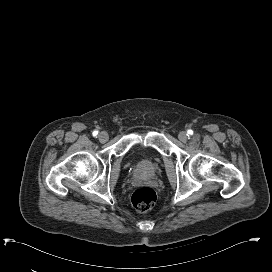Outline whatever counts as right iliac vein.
Instances as JSON below:
<instances>
[{
	"instance_id": "right-iliac-vein-1",
	"label": "right iliac vein",
	"mask_w": 272,
	"mask_h": 272,
	"mask_svg": "<svg viewBox=\"0 0 272 272\" xmlns=\"http://www.w3.org/2000/svg\"><path fill=\"white\" fill-rule=\"evenodd\" d=\"M98 138H99L100 142L104 143L108 140L109 136H108L107 132L103 131L99 134Z\"/></svg>"
}]
</instances>
